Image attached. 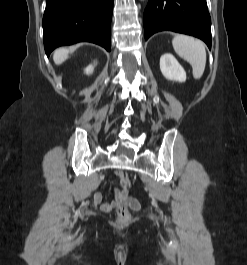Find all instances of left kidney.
Returning <instances> with one entry per match:
<instances>
[{"mask_svg": "<svg viewBox=\"0 0 247 265\" xmlns=\"http://www.w3.org/2000/svg\"><path fill=\"white\" fill-rule=\"evenodd\" d=\"M160 70L163 76L171 81L185 82L186 73L183 67L178 63L176 58L170 54L165 53L160 58Z\"/></svg>", "mask_w": 247, "mask_h": 265, "instance_id": "obj_1", "label": "left kidney"}]
</instances>
